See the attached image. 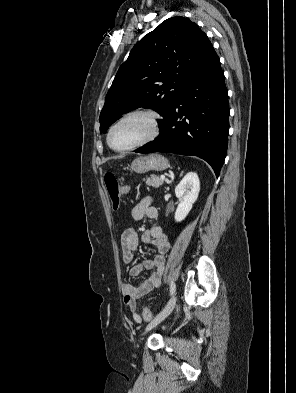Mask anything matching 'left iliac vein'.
<instances>
[{"instance_id":"1","label":"left iliac vein","mask_w":296,"mask_h":393,"mask_svg":"<svg viewBox=\"0 0 296 393\" xmlns=\"http://www.w3.org/2000/svg\"><path fill=\"white\" fill-rule=\"evenodd\" d=\"M176 300H177L176 295H173L167 302L164 309L159 314H157L156 317L153 319V321L146 327V332L150 331L159 323H161L172 312V310L176 305Z\"/></svg>"}]
</instances>
